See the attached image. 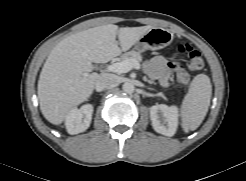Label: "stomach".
I'll list each match as a JSON object with an SVG mask.
<instances>
[{"instance_id": "1", "label": "stomach", "mask_w": 246, "mask_h": 181, "mask_svg": "<svg viewBox=\"0 0 246 181\" xmlns=\"http://www.w3.org/2000/svg\"><path fill=\"white\" fill-rule=\"evenodd\" d=\"M172 41V34L163 28H152L135 44L138 52L161 49Z\"/></svg>"}]
</instances>
